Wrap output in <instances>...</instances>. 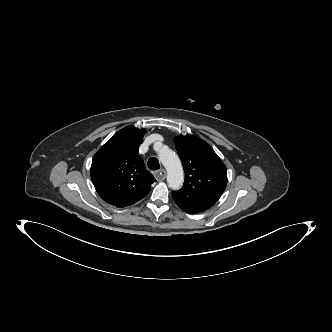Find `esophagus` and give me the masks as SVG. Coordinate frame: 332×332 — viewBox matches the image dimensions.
Segmentation results:
<instances>
[{"label": "esophagus", "instance_id": "1", "mask_svg": "<svg viewBox=\"0 0 332 332\" xmlns=\"http://www.w3.org/2000/svg\"><path fill=\"white\" fill-rule=\"evenodd\" d=\"M155 178L158 181H163L166 178V171L164 169H161V170L155 172Z\"/></svg>", "mask_w": 332, "mask_h": 332}]
</instances>
